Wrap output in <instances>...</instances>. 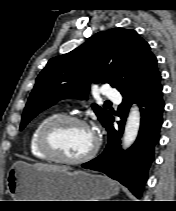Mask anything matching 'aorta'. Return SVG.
<instances>
[{
  "label": "aorta",
  "mask_w": 176,
  "mask_h": 211,
  "mask_svg": "<svg viewBox=\"0 0 176 211\" xmlns=\"http://www.w3.org/2000/svg\"><path fill=\"white\" fill-rule=\"evenodd\" d=\"M141 114L138 107L133 106L130 109L127 122L125 125V130L123 134V148H129L138 136L140 129Z\"/></svg>",
  "instance_id": "1"
}]
</instances>
